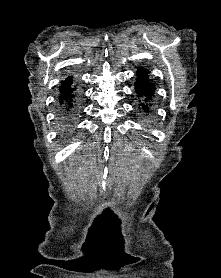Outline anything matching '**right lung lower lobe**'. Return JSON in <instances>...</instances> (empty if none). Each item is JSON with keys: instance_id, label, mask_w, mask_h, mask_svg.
<instances>
[{"instance_id": "1", "label": "right lung lower lobe", "mask_w": 221, "mask_h": 278, "mask_svg": "<svg viewBox=\"0 0 221 278\" xmlns=\"http://www.w3.org/2000/svg\"><path fill=\"white\" fill-rule=\"evenodd\" d=\"M59 90L60 117L69 121L76 113L77 100L76 86L72 77L62 81Z\"/></svg>"}]
</instances>
